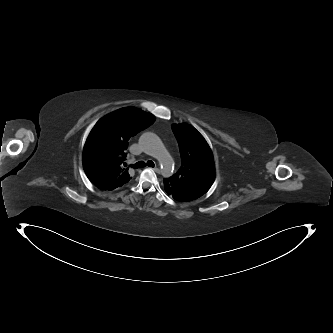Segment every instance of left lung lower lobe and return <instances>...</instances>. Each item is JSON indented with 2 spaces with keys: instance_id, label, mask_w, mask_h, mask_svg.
Instances as JSON below:
<instances>
[{
  "instance_id": "0a47b994",
  "label": "left lung lower lobe",
  "mask_w": 333,
  "mask_h": 333,
  "mask_svg": "<svg viewBox=\"0 0 333 333\" xmlns=\"http://www.w3.org/2000/svg\"><path fill=\"white\" fill-rule=\"evenodd\" d=\"M164 189H165V191L167 192V189H168V184H167V180L166 179H164ZM175 200H177V201H181V200H179V199H177L176 197H173Z\"/></svg>"
}]
</instances>
